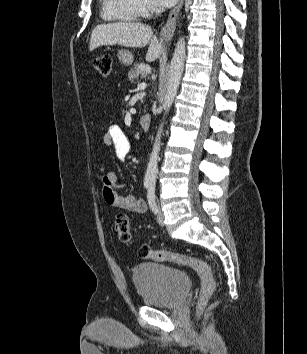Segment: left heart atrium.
I'll return each instance as SVG.
<instances>
[{
	"instance_id": "left-heart-atrium-1",
	"label": "left heart atrium",
	"mask_w": 307,
	"mask_h": 354,
	"mask_svg": "<svg viewBox=\"0 0 307 354\" xmlns=\"http://www.w3.org/2000/svg\"><path fill=\"white\" fill-rule=\"evenodd\" d=\"M155 1L161 7H171L176 3L177 0H155Z\"/></svg>"
}]
</instances>
